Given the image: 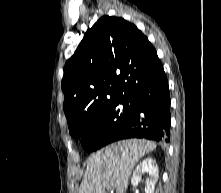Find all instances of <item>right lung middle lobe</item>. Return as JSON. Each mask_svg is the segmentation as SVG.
<instances>
[{
  "label": "right lung middle lobe",
  "instance_id": "1",
  "mask_svg": "<svg viewBox=\"0 0 221 193\" xmlns=\"http://www.w3.org/2000/svg\"><path fill=\"white\" fill-rule=\"evenodd\" d=\"M133 109L131 98L113 101L107 107L76 120L69 132L73 137L84 135L82 145L88 152L97 150L125 127Z\"/></svg>",
  "mask_w": 221,
  "mask_h": 193
}]
</instances>
